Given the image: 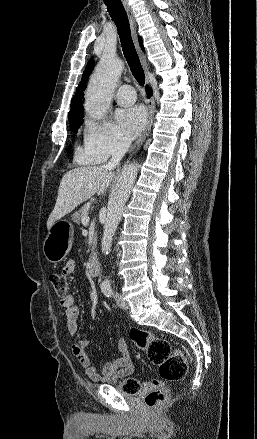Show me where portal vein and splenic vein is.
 I'll return each instance as SVG.
<instances>
[{
	"mask_svg": "<svg viewBox=\"0 0 257 439\" xmlns=\"http://www.w3.org/2000/svg\"><path fill=\"white\" fill-rule=\"evenodd\" d=\"M90 218L88 216H85L82 218V224L84 226H87L89 224Z\"/></svg>",
	"mask_w": 257,
	"mask_h": 439,
	"instance_id": "portal-vein-and-splenic-vein-1",
	"label": "portal vein and splenic vein"
}]
</instances>
